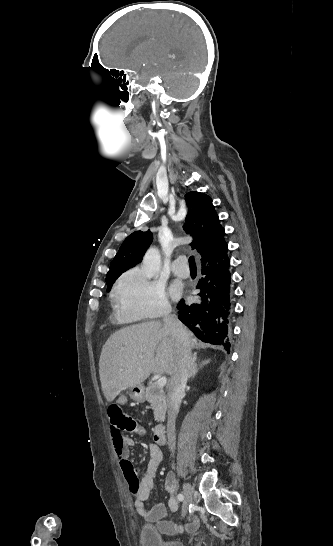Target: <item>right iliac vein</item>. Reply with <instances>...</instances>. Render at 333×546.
Instances as JSON below:
<instances>
[{
	"label": "right iliac vein",
	"mask_w": 333,
	"mask_h": 546,
	"mask_svg": "<svg viewBox=\"0 0 333 546\" xmlns=\"http://www.w3.org/2000/svg\"><path fill=\"white\" fill-rule=\"evenodd\" d=\"M183 490H184V497H185L184 504H183V515H185V513L188 510V506L192 501L194 489L190 484L184 483Z\"/></svg>",
	"instance_id": "63e3f726"
}]
</instances>
